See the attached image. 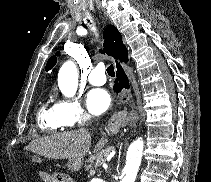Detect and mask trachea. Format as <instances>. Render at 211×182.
Listing matches in <instances>:
<instances>
[{
	"mask_svg": "<svg viewBox=\"0 0 211 182\" xmlns=\"http://www.w3.org/2000/svg\"><path fill=\"white\" fill-rule=\"evenodd\" d=\"M107 73H108L109 76H112V77L115 76V71H114V66H113V64H111V65H109V66L107 67Z\"/></svg>",
	"mask_w": 211,
	"mask_h": 182,
	"instance_id": "obj_1",
	"label": "trachea"
}]
</instances>
